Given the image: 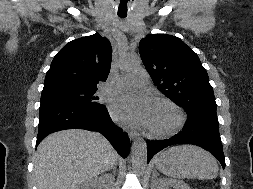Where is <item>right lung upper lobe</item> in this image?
Here are the masks:
<instances>
[{"instance_id":"right-lung-upper-lobe-1","label":"right lung upper lobe","mask_w":253,"mask_h":189,"mask_svg":"<svg viewBox=\"0 0 253 189\" xmlns=\"http://www.w3.org/2000/svg\"><path fill=\"white\" fill-rule=\"evenodd\" d=\"M112 47L99 34L75 39L66 44L54 57L43 90L76 87L97 88L106 81L110 71Z\"/></svg>"}]
</instances>
